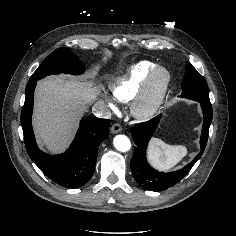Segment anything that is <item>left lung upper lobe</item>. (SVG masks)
I'll list each match as a JSON object with an SVG mask.
<instances>
[{
    "mask_svg": "<svg viewBox=\"0 0 236 236\" xmlns=\"http://www.w3.org/2000/svg\"><path fill=\"white\" fill-rule=\"evenodd\" d=\"M182 90V97L198 102L210 103L208 87L203 77L190 62L186 64V75L182 83Z\"/></svg>",
    "mask_w": 236,
    "mask_h": 236,
    "instance_id": "1",
    "label": "left lung upper lobe"
}]
</instances>
